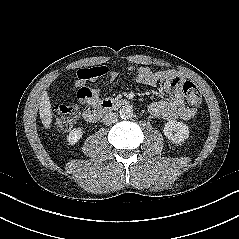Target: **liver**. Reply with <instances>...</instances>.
Returning a JSON list of instances; mask_svg holds the SVG:
<instances>
[{
	"label": "liver",
	"instance_id": "6515ba94",
	"mask_svg": "<svg viewBox=\"0 0 239 239\" xmlns=\"http://www.w3.org/2000/svg\"><path fill=\"white\" fill-rule=\"evenodd\" d=\"M39 114L44 128L49 129L52 123V112L51 103L47 92H45L41 97Z\"/></svg>",
	"mask_w": 239,
	"mask_h": 239
}]
</instances>
